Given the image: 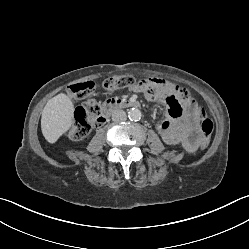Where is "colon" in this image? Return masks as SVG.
I'll return each mask as SVG.
<instances>
[{
    "label": "colon",
    "mask_w": 249,
    "mask_h": 249,
    "mask_svg": "<svg viewBox=\"0 0 249 249\" xmlns=\"http://www.w3.org/2000/svg\"><path fill=\"white\" fill-rule=\"evenodd\" d=\"M139 82L131 76H111L104 82V88L107 90L125 89L136 86ZM94 88V83L90 81L77 82L69 86V94L77 99L88 96ZM102 107L94 100L86 102L79 107L74 116V124L69 132L72 140H81L91 131L92 127L102 121ZM200 128L203 136L202 146L209 143L213 133V122L207 116L204 109L200 110Z\"/></svg>",
    "instance_id": "colon-1"
}]
</instances>
